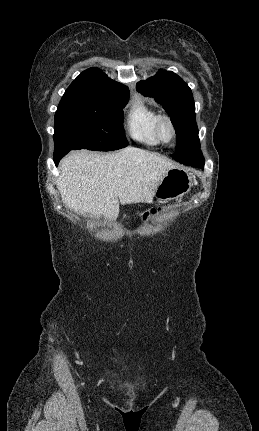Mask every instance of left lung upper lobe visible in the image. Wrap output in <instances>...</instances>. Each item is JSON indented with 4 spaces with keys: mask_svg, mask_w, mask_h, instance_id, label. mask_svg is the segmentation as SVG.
Listing matches in <instances>:
<instances>
[{
    "mask_svg": "<svg viewBox=\"0 0 259 431\" xmlns=\"http://www.w3.org/2000/svg\"><path fill=\"white\" fill-rule=\"evenodd\" d=\"M136 89L144 96L154 97L170 116L177 137L173 159L196 166L203 161L194 99L188 85L171 71H159L155 76L138 82Z\"/></svg>",
    "mask_w": 259,
    "mask_h": 431,
    "instance_id": "5c2ea615",
    "label": "left lung upper lobe"
}]
</instances>
